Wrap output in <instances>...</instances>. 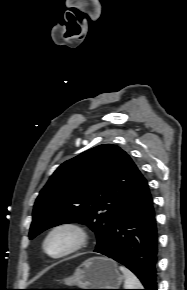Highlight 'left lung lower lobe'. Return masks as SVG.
Masks as SVG:
<instances>
[{"mask_svg":"<svg viewBox=\"0 0 187 290\" xmlns=\"http://www.w3.org/2000/svg\"><path fill=\"white\" fill-rule=\"evenodd\" d=\"M157 239L153 201L144 180L123 202L106 241L94 251L130 269L144 290H157Z\"/></svg>","mask_w":187,"mask_h":290,"instance_id":"obj_1","label":"left lung lower lobe"}]
</instances>
